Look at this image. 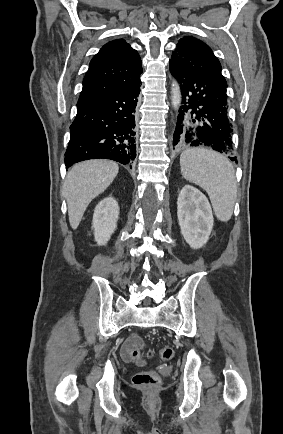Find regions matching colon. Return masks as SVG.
Masks as SVG:
<instances>
[{
    "label": "colon",
    "mask_w": 283,
    "mask_h": 434,
    "mask_svg": "<svg viewBox=\"0 0 283 434\" xmlns=\"http://www.w3.org/2000/svg\"><path fill=\"white\" fill-rule=\"evenodd\" d=\"M141 354L142 353L138 348H133L131 350V357L134 359L139 358ZM148 355L151 356L152 352H149ZM158 356L160 359L164 361H168L173 358L174 351L170 347H164L158 351ZM132 381L133 384L138 387L152 388L160 384L161 378L159 374H157L156 372L145 370V371L138 372L136 375H134Z\"/></svg>",
    "instance_id": "1"
}]
</instances>
